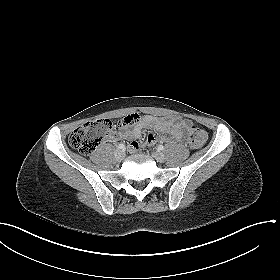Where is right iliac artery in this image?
Here are the masks:
<instances>
[{
	"label": "right iliac artery",
	"mask_w": 280,
	"mask_h": 280,
	"mask_svg": "<svg viewBox=\"0 0 280 280\" xmlns=\"http://www.w3.org/2000/svg\"><path fill=\"white\" fill-rule=\"evenodd\" d=\"M118 148H119V149H124V148H125V145H124V144H119V145H118Z\"/></svg>",
	"instance_id": "82829eb1"
}]
</instances>
